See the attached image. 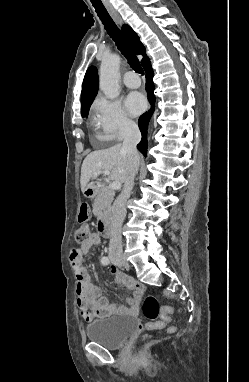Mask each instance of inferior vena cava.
<instances>
[{
  "label": "inferior vena cava",
  "mask_w": 249,
  "mask_h": 382,
  "mask_svg": "<svg viewBox=\"0 0 249 382\" xmlns=\"http://www.w3.org/2000/svg\"><path fill=\"white\" fill-rule=\"evenodd\" d=\"M141 140V132L135 123H128L125 127L123 148L127 151L130 160L128 176L124 182L121 194L115 200L112 207L111 238L109 244V257H122L121 226L126 216V202L131 195L134 186V178L139 167V154L137 144Z\"/></svg>",
  "instance_id": "602c4592"
}]
</instances>
